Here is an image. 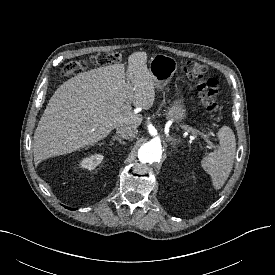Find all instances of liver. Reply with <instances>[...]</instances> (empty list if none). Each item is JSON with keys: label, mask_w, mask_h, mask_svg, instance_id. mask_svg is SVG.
Here are the masks:
<instances>
[{"label": "liver", "mask_w": 275, "mask_h": 275, "mask_svg": "<svg viewBox=\"0 0 275 275\" xmlns=\"http://www.w3.org/2000/svg\"><path fill=\"white\" fill-rule=\"evenodd\" d=\"M150 109L155 83L147 68V53L134 52L124 64H113L81 73L64 82L50 98L34 134L36 163L93 145L121 126L138 127L139 114L124 109Z\"/></svg>", "instance_id": "liver-1"}]
</instances>
